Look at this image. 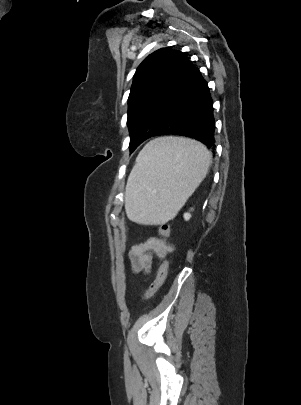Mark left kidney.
Wrapping results in <instances>:
<instances>
[{"instance_id":"5707ae66","label":"left kidney","mask_w":301,"mask_h":405,"mask_svg":"<svg viewBox=\"0 0 301 405\" xmlns=\"http://www.w3.org/2000/svg\"><path fill=\"white\" fill-rule=\"evenodd\" d=\"M191 218V214L190 213H185L184 214V219L186 220V221H188L189 219Z\"/></svg>"}]
</instances>
